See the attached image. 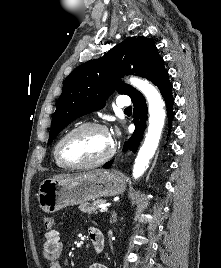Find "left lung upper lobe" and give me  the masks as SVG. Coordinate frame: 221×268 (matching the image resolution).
Instances as JSON below:
<instances>
[{"mask_svg": "<svg viewBox=\"0 0 221 268\" xmlns=\"http://www.w3.org/2000/svg\"><path fill=\"white\" fill-rule=\"evenodd\" d=\"M135 74L154 85L168 77L163 59L154 43L145 37H129L103 57L78 66L65 79L53 114L48 144L74 119L104 107L105 100L118 90L131 99L141 95L119 79Z\"/></svg>", "mask_w": 221, "mask_h": 268, "instance_id": "left-lung-upper-lobe-1", "label": "left lung upper lobe"}]
</instances>
